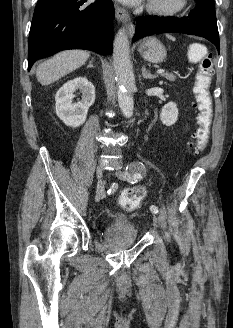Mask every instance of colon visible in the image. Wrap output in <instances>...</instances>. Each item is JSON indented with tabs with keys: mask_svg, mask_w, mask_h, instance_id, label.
Instances as JSON below:
<instances>
[{
	"mask_svg": "<svg viewBox=\"0 0 233 328\" xmlns=\"http://www.w3.org/2000/svg\"><path fill=\"white\" fill-rule=\"evenodd\" d=\"M190 56L199 62L193 87V107L197 110V127L192 134L189 147L194 152L202 151L209 140L213 118V104L210 85L214 73L212 54L203 48H191ZM146 196L142 187L125 190L120 197V205L126 211H133L139 207Z\"/></svg>",
	"mask_w": 233,
	"mask_h": 328,
	"instance_id": "5ec220e1",
	"label": "colon"
}]
</instances>
